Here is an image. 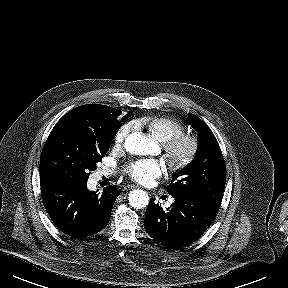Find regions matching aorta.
Instances as JSON below:
<instances>
[{
    "instance_id": "aorta-1",
    "label": "aorta",
    "mask_w": 288,
    "mask_h": 288,
    "mask_svg": "<svg viewBox=\"0 0 288 288\" xmlns=\"http://www.w3.org/2000/svg\"><path fill=\"white\" fill-rule=\"evenodd\" d=\"M125 149L134 155H149L155 148V142L140 132L130 134L124 143ZM129 204L136 209L144 208L149 203L148 194L141 189L130 191L128 196Z\"/></svg>"
}]
</instances>
